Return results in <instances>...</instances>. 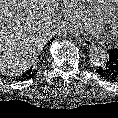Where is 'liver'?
I'll use <instances>...</instances> for the list:
<instances>
[{
  "label": "liver",
  "instance_id": "1",
  "mask_svg": "<svg viewBox=\"0 0 118 118\" xmlns=\"http://www.w3.org/2000/svg\"><path fill=\"white\" fill-rule=\"evenodd\" d=\"M57 0H0V73L27 71L59 25Z\"/></svg>",
  "mask_w": 118,
  "mask_h": 118
}]
</instances>
